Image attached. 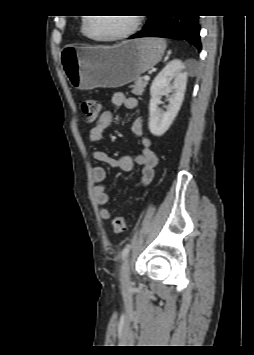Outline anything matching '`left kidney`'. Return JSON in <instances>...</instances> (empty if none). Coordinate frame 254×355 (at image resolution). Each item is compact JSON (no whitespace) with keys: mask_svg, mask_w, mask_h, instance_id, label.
<instances>
[{"mask_svg":"<svg viewBox=\"0 0 254 355\" xmlns=\"http://www.w3.org/2000/svg\"><path fill=\"white\" fill-rule=\"evenodd\" d=\"M173 79V82L171 80ZM187 83V72L184 63L179 59L170 61L155 77L150 87L149 129L155 136H162L171 126L182 105ZM172 88L166 111L158 109L161 93Z\"/></svg>","mask_w":254,"mask_h":355,"instance_id":"1","label":"left kidney"}]
</instances>
